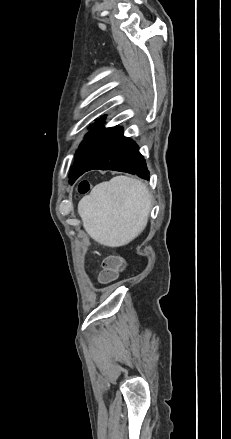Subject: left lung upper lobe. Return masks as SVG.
<instances>
[{
    "mask_svg": "<svg viewBox=\"0 0 231 439\" xmlns=\"http://www.w3.org/2000/svg\"><path fill=\"white\" fill-rule=\"evenodd\" d=\"M118 126L105 128L102 120L90 127V131L85 135L80 144L75 161L69 174L71 184L82 175L84 170L93 162L98 151L106 140L116 131Z\"/></svg>",
    "mask_w": 231,
    "mask_h": 439,
    "instance_id": "1",
    "label": "left lung upper lobe"
}]
</instances>
